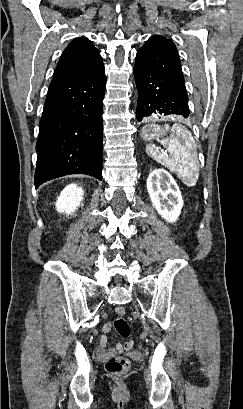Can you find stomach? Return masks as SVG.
Returning a JSON list of instances; mask_svg holds the SVG:
<instances>
[{
	"label": "stomach",
	"mask_w": 243,
	"mask_h": 409,
	"mask_svg": "<svg viewBox=\"0 0 243 409\" xmlns=\"http://www.w3.org/2000/svg\"><path fill=\"white\" fill-rule=\"evenodd\" d=\"M167 135V131L159 125L156 124H147L141 130V137L145 141H150L153 139L159 140Z\"/></svg>",
	"instance_id": "obj_1"
}]
</instances>
